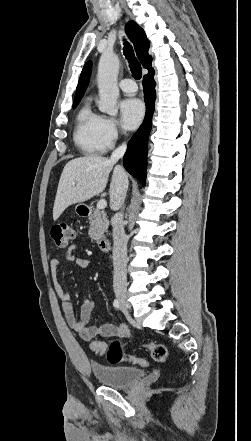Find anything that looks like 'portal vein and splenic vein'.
Here are the masks:
<instances>
[{
	"label": "portal vein and splenic vein",
	"instance_id": "18ae733b",
	"mask_svg": "<svg viewBox=\"0 0 251 441\" xmlns=\"http://www.w3.org/2000/svg\"><path fill=\"white\" fill-rule=\"evenodd\" d=\"M106 206H107V202L104 199L99 200L98 203H97V209H99V210L100 209H105Z\"/></svg>",
	"mask_w": 251,
	"mask_h": 441
}]
</instances>
